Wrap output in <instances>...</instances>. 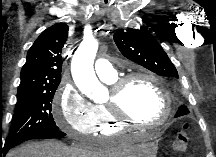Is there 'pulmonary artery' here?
Wrapping results in <instances>:
<instances>
[{
	"label": "pulmonary artery",
	"instance_id": "pulmonary-artery-1",
	"mask_svg": "<svg viewBox=\"0 0 216 157\" xmlns=\"http://www.w3.org/2000/svg\"><path fill=\"white\" fill-rule=\"evenodd\" d=\"M94 69L97 76L102 80L108 81L115 78L116 71L112 63L107 59H97L94 65Z\"/></svg>",
	"mask_w": 216,
	"mask_h": 157
}]
</instances>
